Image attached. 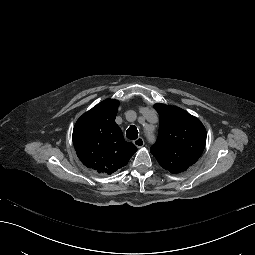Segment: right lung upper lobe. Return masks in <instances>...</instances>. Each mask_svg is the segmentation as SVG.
Masks as SVG:
<instances>
[{"mask_svg":"<svg viewBox=\"0 0 255 255\" xmlns=\"http://www.w3.org/2000/svg\"><path fill=\"white\" fill-rule=\"evenodd\" d=\"M119 101L108 99L83 114L73 130L80 161L98 173L111 174L125 166L137 148L124 140L115 122Z\"/></svg>","mask_w":255,"mask_h":255,"instance_id":"1","label":"right lung upper lobe"}]
</instances>
